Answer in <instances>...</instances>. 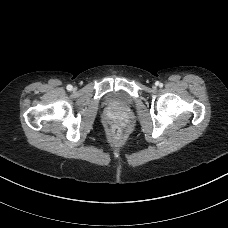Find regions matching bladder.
<instances>
[{"mask_svg": "<svg viewBox=\"0 0 228 228\" xmlns=\"http://www.w3.org/2000/svg\"><path fill=\"white\" fill-rule=\"evenodd\" d=\"M108 102L120 107H127L131 104V98L124 92H114L108 96Z\"/></svg>", "mask_w": 228, "mask_h": 228, "instance_id": "obj_1", "label": "bladder"}]
</instances>
